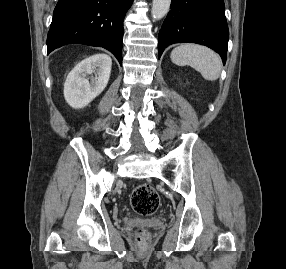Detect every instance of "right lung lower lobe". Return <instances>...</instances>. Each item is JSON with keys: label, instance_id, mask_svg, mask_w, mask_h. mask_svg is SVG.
<instances>
[{"label": "right lung lower lobe", "instance_id": "obj_1", "mask_svg": "<svg viewBox=\"0 0 286 269\" xmlns=\"http://www.w3.org/2000/svg\"><path fill=\"white\" fill-rule=\"evenodd\" d=\"M133 0H59L47 36L48 54L66 44L100 46L122 64L123 20Z\"/></svg>", "mask_w": 286, "mask_h": 269}]
</instances>
